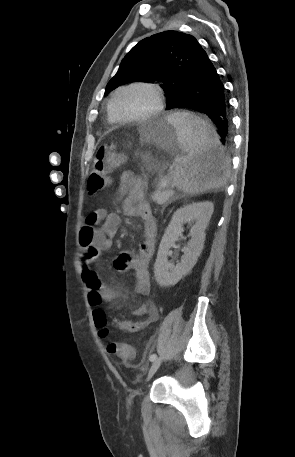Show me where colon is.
Here are the masks:
<instances>
[{
  "label": "colon",
  "instance_id": "obj_1",
  "mask_svg": "<svg viewBox=\"0 0 295 457\" xmlns=\"http://www.w3.org/2000/svg\"><path fill=\"white\" fill-rule=\"evenodd\" d=\"M124 160V155L118 151L115 144L101 146L96 153L93 169L88 179V193L95 195L103 190L108 183V175L118 168ZM93 317L100 336L104 337L108 333L106 312L102 309H96L93 312ZM105 349L108 350L109 355H117L126 361H130L134 357L133 347L121 341H106Z\"/></svg>",
  "mask_w": 295,
  "mask_h": 457
}]
</instances>
